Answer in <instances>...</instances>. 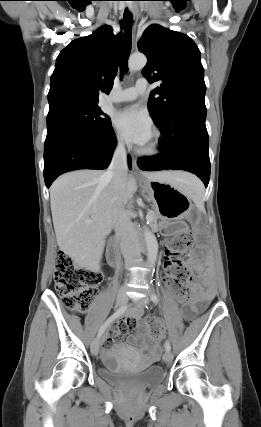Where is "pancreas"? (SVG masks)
Listing matches in <instances>:
<instances>
[{
	"label": "pancreas",
	"instance_id": "obj_1",
	"mask_svg": "<svg viewBox=\"0 0 261 427\" xmlns=\"http://www.w3.org/2000/svg\"><path fill=\"white\" fill-rule=\"evenodd\" d=\"M149 220L151 222V227L152 228H156L157 227V219H158V214L155 211H150L149 213Z\"/></svg>",
	"mask_w": 261,
	"mask_h": 427
}]
</instances>
